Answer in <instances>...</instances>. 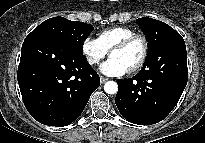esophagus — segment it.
<instances>
[{
	"mask_svg": "<svg viewBox=\"0 0 205 143\" xmlns=\"http://www.w3.org/2000/svg\"><path fill=\"white\" fill-rule=\"evenodd\" d=\"M100 81H101V83L103 84V83H105L106 81H108V78L101 76V77H100Z\"/></svg>",
	"mask_w": 205,
	"mask_h": 143,
	"instance_id": "1",
	"label": "esophagus"
}]
</instances>
